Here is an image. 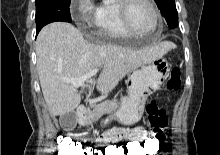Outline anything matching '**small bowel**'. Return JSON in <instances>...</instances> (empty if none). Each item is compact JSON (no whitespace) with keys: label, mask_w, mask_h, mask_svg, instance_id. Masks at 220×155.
<instances>
[{"label":"small bowel","mask_w":220,"mask_h":155,"mask_svg":"<svg viewBox=\"0 0 220 155\" xmlns=\"http://www.w3.org/2000/svg\"><path fill=\"white\" fill-rule=\"evenodd\" d=\"M114 130H105V133H101V136L95 137L98 140V144H116V141H128L129 139H145L148 135L143 127L131 126L130 130H121L119 126H114ZM120 129V130H119ZM90 144L97 142L90 141ZM116 146V145H115Z\"/></svg>","instance_id":"obj_1"}]
</instances>
